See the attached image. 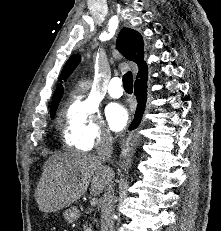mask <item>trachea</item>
Instances as JSON below:
<instances>
[{"mask_svg":"<svg viewBox=\"0 0 221 231\" xmlns=\"http://www.w3.org/2000/svg\"><path fill=\"white\" fill-rule=\"evenodd\" d=\"M123 86L126 91H132L133 90V75L131 71H128L123 76Z\"/></svg>","mask_w":221,"mask_h":231,"instance_id":"obj_1","label":"trachea"}]
</instances>
